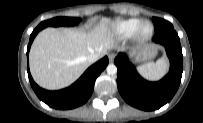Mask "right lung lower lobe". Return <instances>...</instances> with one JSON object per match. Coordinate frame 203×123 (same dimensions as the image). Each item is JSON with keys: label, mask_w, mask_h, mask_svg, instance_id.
Here are the masks:
<instances>
[{"label": "right lung lower lobe", "mask_w": 203, "mask_h": 123, "mask_svg": "<svg viewBox=\"0 0 203 123\" xmlns=\"http://www.w3.org/2000/svg\"><path fill=\"white\" fill-rule=\"evenodd\" d=\"M41 30L42 29L40 27H37L30 35L27 57L35 36ZM108 63V58L104 57L103 59L89 67L74 84L59 91H48L40 88L31 77L29 65L27 67V72L32 89L34 90L38 98L52 108L65 110L78 107L87 102L93 92L96 78L105 69Z\"/></svg>", "instance_id": "1"}]
</instances>
